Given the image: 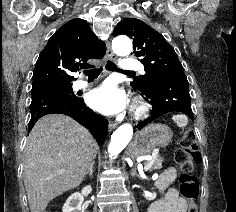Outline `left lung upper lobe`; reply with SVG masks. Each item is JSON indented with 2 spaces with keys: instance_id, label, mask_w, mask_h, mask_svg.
I'll return each mask as SVG.
<instances>
[{
  "instance_id": "left-lung-upper-lobe-1",
  "label": "left lung upper lobe",
  "mask_w": 236,
  "mask_h": 212,
  "mask_svg": "<svg viewBox=\"0 0 236 212\" xmlns=\"http://www.w3.org/2000/svg\"><path fill=\"white\" fill-rule=\"evenodd\" d=\"M120 34L133 39V53L139 57L146 72L145 75L134 78V88L150 91L158 81L184 72L174 49L159 32L143 21L135 18L122 20L113 31V36Z\"/></svg>"
}]
</instances>
